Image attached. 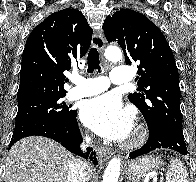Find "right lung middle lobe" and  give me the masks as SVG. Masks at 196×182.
I'll list each match as a JSON object with an SVG mask.
<instances>
[{
	"mask_svg": "<svg viewBox=\"0 0 196 182\" xmlns=\"http://www.w3.org/2000/svg\"><path fill=\"white\" fill-rule=\"evenodd\" d=\"M64 96L42 98L19 104L16 125L44 118L70 121L77 112L69 109L70 107L61 101Z\"/></svg>",
	"mask_w": 196,
	"mask_h": 182,
	"instance_id": "obj_1",
	"label": "right lung middle lobe"
}]
</instances>
